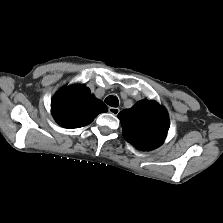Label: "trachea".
Instances as JSON below:
<instances>
[{"mask_svg": "<svg viewBox=\"0 0 223 223\" xmlns=\"http://www.w3.org/2000/svg\"><path fill=\"white\" fill-rule=\"evenodd\" d=\"M105 102L111 107H118V105H119L118 98L116 96H112V95L108 96L105 99Z\"/></svg>", "mask_w": 223, "mask_h": 223, "instance_id": "3493384b", "label": "trachea"}]
</instances>
